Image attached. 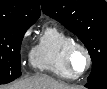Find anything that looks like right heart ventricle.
<instances>
[{
    "instance_id": "obj_1",
    "label": "right heart ventricle",
    "mask_w": 107,
    "mask_h": 89,
    "mask_svg": "<svg viewBox=\"0 0 107 89\" xmlns=\"http://www.w3.org/2000/svg\"><path fill=\"white\" fill-rule=\"evenodd\" d=\"M72 41L73 38L57 25H46L31 52V65L57 77L73 79L64 62L65 49Z\"/></svg>"
}]
</instances>
